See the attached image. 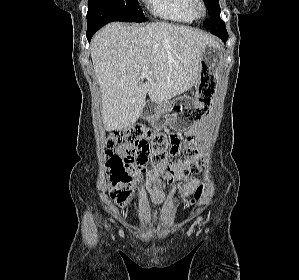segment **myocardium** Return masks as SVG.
Segmentation results:
<instances>
[{"label":"myocardium","mask_w":299,"mask_h":280,"mask_svg":"<svg viewBox=\"0 0 299 280\" xmlns=\"http://www.w3.org/2000/svg\"><path fill=\"white\" fill-rule=\"evenodd\" d=\"M193 11L197 18H202L206 15L207 8L203 0H193Z\"/></svg>","instance_id":"myocardium-1"}]
</instances>
